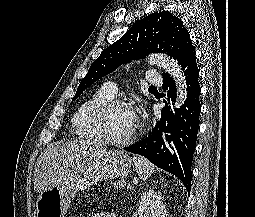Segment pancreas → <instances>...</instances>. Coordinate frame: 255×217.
<instances>
[{
	"instance_id": "cf45deb5",
	"label": "pancreas",
	"mask_w": 255,
	"mask_h": 217,
	"mask_svg": "<svg viewBox=\"0 0 255 217\" xmlns=\"http://www.w3.org/2000/svg\"><path fill=\"white\" fill-rule=\"evenodd\" d=\"M113 185L114 188H124L126 182L124 180H118V181H115L113 183H111Z\"/></svg>"
}]
</instances>
